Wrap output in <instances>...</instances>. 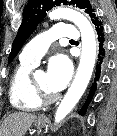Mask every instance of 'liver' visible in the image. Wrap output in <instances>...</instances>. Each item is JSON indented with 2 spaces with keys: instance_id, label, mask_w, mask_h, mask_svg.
I'll return each instance as SVG.
<instances>
[{
  "instance_id": "liver-1",
  "label": "liver",
  "mask_w": 117,
  "mask_h": 136,
  "mask_svg": "<svg viewBox=\"0 0 117 136\" xmlns=\"http://www.w3.org/2000/svg\"><path fill=\"white\" fill-rule=\"evenodd\" d=\"M36 120V115L14 112L8 115L0 127V136H23Z\"/></svg>"
}]
</instances>
